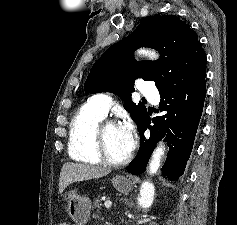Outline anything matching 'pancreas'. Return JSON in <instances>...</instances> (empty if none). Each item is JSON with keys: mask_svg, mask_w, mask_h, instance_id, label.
Segmentation results:
<instances>
[{"mask_svg": "<svg viewBox=\"0 0 237 225\" xmlns=\"http://www.w3.org/2000/svg\"><path fill=\"white\" fill-rule=\"evenodd\" d=\"M101 206H102V204H101V199H100V197L98 196V197H96L95 199H94V204H93V209H101Z\"/></svg>", "mask_w": 237, "mask_h": 225, "instance_id": "obj_1", "label": "pancreas"}]
</instances>
